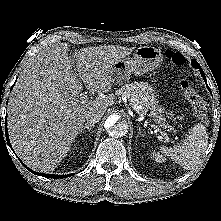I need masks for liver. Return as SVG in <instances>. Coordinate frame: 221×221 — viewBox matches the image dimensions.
Wrapping results in <instances>:
<instances>
[{"label":"liver","instance_id":"obj_1","mask_svg":"<svg viewBox=\"0 0 221 221\" xmlns=\"http://www.w3.org/2000/svg\"><path fill=\"white\" fill-rule=\"evenodd\" d=\"M133 47L100 46L68 55L66 43L42 50L21 71L11 92L8 132L15 153L25 164L47 172L67 156L86 114L114 104L112 69ZM83 86L100 93L79 98Z\"/></svg>","mask_w":221,"mask_h":221}]
</instances>
